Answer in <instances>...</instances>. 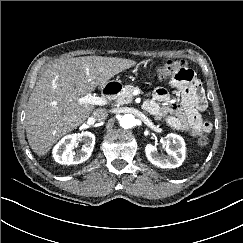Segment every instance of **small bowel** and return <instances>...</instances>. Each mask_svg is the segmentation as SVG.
Wrapping results in <instances>:
<instances>
[{
  "mask_svg": "<svg viewBox=\"0 0 243 243\" xmlns=\"http://www.w3.org/2000/svg\"><path fill=\"white\" fill-rule=\"evenodd\" d=\"M170 86L179 93V103H170L169 92L159 87L154 90L152 98L145 103L144 108L156 119H165L171 127L192 136L210 133L212 125L201 116L207 101L195 74L191 71L184 80L171 79Z\"/></svg>",
  "mask_w": 243,
  "mask_h": 243,
  "instance_id": "obj_1",
  "label": "small bowel"
}]
</instances>
